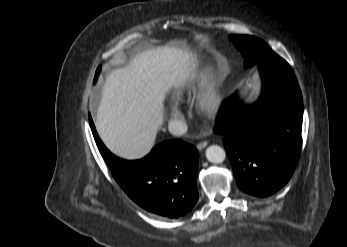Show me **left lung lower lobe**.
<instances>
[{"label": "left lung lower lobe", "mask_w": 347, "mask_h": 247, "mask_svg": "<svg viewBox=\"0 0 347 247\" xmlns=\"http://www.w3.org/2000/svg\"><path fill=\"white\" fill-rule=\"evenodd\" d=\"M262 93L253 105L236 94L221 106L214 132L224 146L240 189L266 197L291 178L301 148L303 101L297 80L282 58L258 65Z\"/></svg>", "instance_id": "obj_1"}]
</instances>
